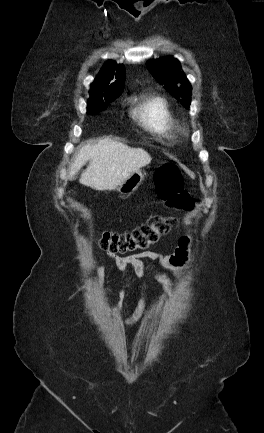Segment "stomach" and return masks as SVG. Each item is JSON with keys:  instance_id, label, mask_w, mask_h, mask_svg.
<instances>
[{"instance_id": "1", "label": "stomach", "mask_w": 264, "mask_h": 433, "mask_svg": "<svg viewBox=\"0 0 264 433\" xmlns=\"http://www.w3.org/2000/svg\"><path fill=\"white\" fill-rule=\"evenodd\" d=\"M143 178L144 173L141 170H138L119 184L117 186V191L121 194H131L140 186Z\"/></svg>"}]
</instances>
